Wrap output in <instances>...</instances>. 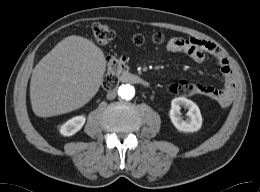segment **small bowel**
<instances>
[{"label": "small bowel", "instance_id": "obj_1", "mask_svg": "<svg viewBox=\"0 0 260 192\" xmlns=\"http://www.w3.org/2000/svg\"><path fill=\"white\" fill-rule=\"evenodd\" d=\"M166 49L172 53L185 54L195 62H203L207 55L212 56L220 67L224 85L222 88L218 89L211 86L196 84V93L209 97L224 107L232 102L236 93L234 74L227 58L214 43L196 37H174L168 41Z\"/></svg>", "mask_w": 260, "mask_h": 192}]
</instances>
